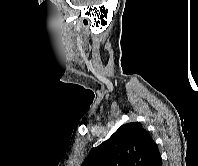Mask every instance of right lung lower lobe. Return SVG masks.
I'll return each instance as SVG.
<instances>
[{
  "mask_svg": "<svg viewBox=\"0 0 198 166\" xmlns=\"http://www.w3.org/2000/svg\"><path fill=\"white\" fill-rule=\"evenodd\" d=\"M161 155L160 153L151 161V163L149 164V166H162L161 165Z\"/></svg>",
  "mask_w": 198,
  "mask_h": 166,
  "instance_id": "98d812e1",
  "label": "right lung lower lobe"
}]
</instances>
